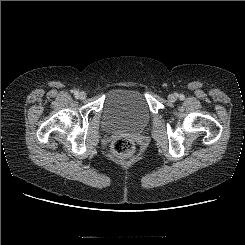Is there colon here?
Wrapping results in <instances>:
<instances>
[{
	"label": "colon",
	"instance_id": "obj_1",
	"mask_svg": "<svg viewBox=\"0 0 245 245\" xmlns=\"http://www.w3.org/2000/svg\"><path fill=\"white\" fill-rule=\"evenodd\" d=\"M135 144L132 139L120 137L113 141L112 151L118 156H128L133 153Z\"/></svg>",
	"mask_w": 245,
	"mask_h": 245
}]
</instances>
